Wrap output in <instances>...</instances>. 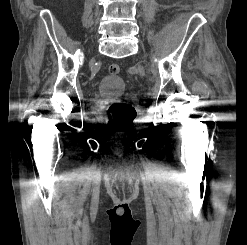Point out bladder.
Returning <instances> with one entry per match:
<instances>
[{
    "label": "bladder",
    "mask_w": 247,
    "mask_h": 245,
    "mask_svg": "<svg viewBox=\"0 0 247 245\" xmlns=\"http://www.w3.org/2000/svg\"><path fill=\"white\" fill-rule=\"evenodd\" d=\"M125 90L124 80L117 75H106L100 79L96 87L99 97L117 95Z\"/></svg>",
    "instance_id": "1"
}]
</instances>
